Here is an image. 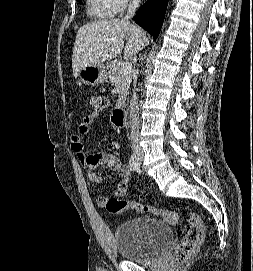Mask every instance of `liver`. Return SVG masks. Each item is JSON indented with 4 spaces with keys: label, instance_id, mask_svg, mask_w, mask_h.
<instances>
[{
    "label": "liver",
    "instance_id": "6515ba94",
    "mask_svg": "<svg viewBox=\"0 0 253 271\" xmlns=\"http://www.w3.org/2000/svg\"><path fill=\"white\" fill-rule=\"evenodd\" d=\"M128 41L124 47V39ZM149 44L145 33L125 19H109L88 23L76 35L72 69L74 77L89 65L100 64L121 54L129 59Z\"/></svg>",
    "mask_w": 253,
    "mask_h": 271
}]
</instances>
